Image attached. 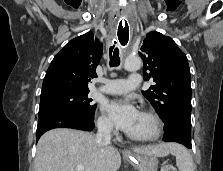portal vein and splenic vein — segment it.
Wrapping results in <instances>:
<instances>
[{"label": "portal vein and splenic vein", "mask_w": 223, "mask_h": 171, "mask_svg": "<svg viewBox=\"0 0 223 171\" xmlns=\"http://www.w3.org/2000/svg\"><path fill=\"white\" fill-rule=\"evenodd\" d=\"M84 167L83 166H77L76 171H83Z\"/></svg>", "instance_id": "portal-vein-and-splenic-vein-1"}]
</instances>
